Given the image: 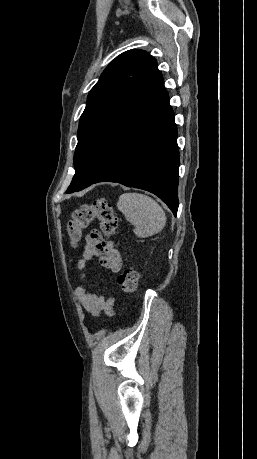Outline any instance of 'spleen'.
<instances>
[{"label": "spleen", "instance_id": "obj_1", "mask_svg": "<svg viewBox=\"0 0 257 459\" xmlns=\"http://www.w3.org/2000/svg\"><path fill=\"white\" fill-rule=\"evenodd\" d=\"M117 208L126 220L135 225L134 234L145 238L160 232L166 223L165 212L151 197L127 192L119 197Z\"/></svg>", "mask_w": 257, "mask_h": 459}]
</instances>
